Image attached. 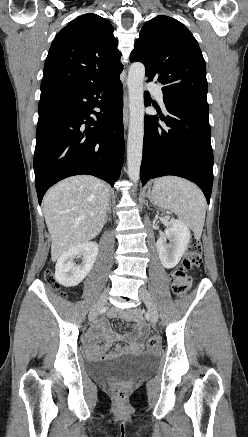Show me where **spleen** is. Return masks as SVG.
Instances as JSON below:
<instances>
[{
    "mask_svg": "<svg viewBox=\"0 0 248 437\" xmlns=\"http://www.w3.org/2000/svg\"><path fill=\"white\" fill-rule=\"evenodd\" d=\"M154 191L153 201L175 212L179 220L199 238L206 215V200L202 191L192 182L176 176L156 179Z\"/></svg>",
    "mask_w": 248,
    "mask_h": 437,
    "instance_id": "obj_1",
    "label": "spleen"
}]
</instances>
